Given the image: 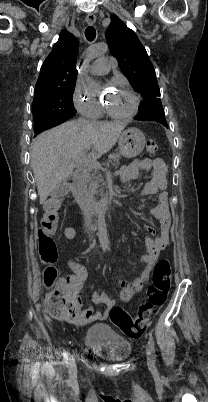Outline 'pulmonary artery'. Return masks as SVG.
<instances>
[{
	"label": "pulmonary artery",
	"instance_id": "e3ab8cb5",
	"mask_svg": "<svg viewBox=\"0 0 208 402\" xmlns=\"http://www.w3.org/2000/svg\"><path fill=\"white\" fill-rule=\"evenodd\" d=\"M94 54L101 56L103 52H95ZM107 62L108 60L105 57H100L91 65L90 72L98 75L106 74L108 72Z\"/></svg>",
	"mask_w": 208,
	"mask_h": 402
}]
</instances>
